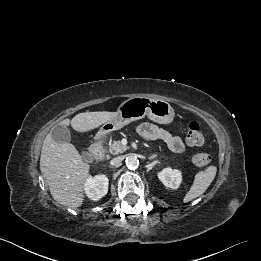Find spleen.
Listing matches in <instances>:
<instances>
[{"instance_id":"1","label":"spleen","mask_w":261,"mask_h":261,"mask_svg":"<svg viewBox=\"0 0 261 261\" xmlns=\"http://www.w3.org/2000/svg\"><path fill=\"white\" fill-rule=\"evenodd\" d=\"M216 172L215 166H209L206 170L198 172L190 190L184 196L183 202L187 203L203 194L214 180Z\"/></svg>"}]
</instances>
